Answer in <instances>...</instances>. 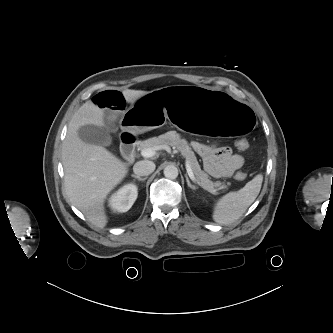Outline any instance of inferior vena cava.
<instances>
[{
  "label": "inferior vena cava",
  "mask_w": 333,
  "mask_h": 333,
  "mask_svg": "<svg viewBox=\"0 0 333 333\" xmlns=\"http://www.w3.org/2000/svg\"><path fill=\"white\" fill-rule=\"evenodd\" d=\"M156 166L149 160L139 161L133 166V171L138 176H148L154 172Z\"/></svg>",
  "instance_id": "602c4592"
}]
</instances>
